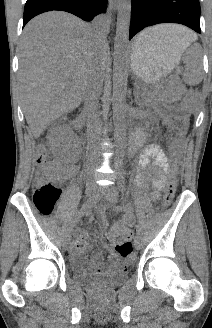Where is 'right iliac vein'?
Returning a JSON list of instances; mask_svg holds the SVG:
<instances>
[{"label":"right iliac vein","instance_id":"63e3f726","mask_svg":"<svg viewBox=\"0 0 212 328\" xmlns=\"http://www.w3.org/2000/svg\"><path fill=\"white\" fill-rule=\"evenodd\" d=\"M95 192V187L93 185V183H87L86 185V196L91 199V197L93 196ZM71 246V241H70V237L69 235L65 238L64 243H63V247L65 250H69Z\"/></svg>","mask_w":212,"mask_h":328}]
</instances>
